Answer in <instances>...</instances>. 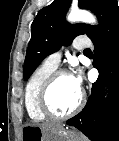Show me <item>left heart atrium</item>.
<instances>
[{"instance_id": "obj_1", "label": "left heart atrium", "mask_w": 119, "mask_h": 141, "mask_svg": "<svg viewBox=\"0 0 119 141\" xmlns=\"http://www.w3.org/2000/svg\"><path fill=\"white\" fill-rule=\"evenodd\" d=\"M76 87L78 88L79 91H81V87H82V77L80 75V73H76L74 76H72Z\"/></svg>"}]
</instances>
